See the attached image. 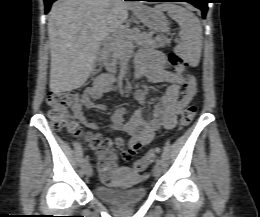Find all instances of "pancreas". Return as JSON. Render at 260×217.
Returning <instances> with one entry per match:
<instances>
[{
    "label": "pancreas",
    "mask_w": 260,
    "mask_h": 217,
    "mask_svg": "<svg viewBox=\"0 0 260 217\" xmlns=\"http://www.w3.org/2000/svg\"><path fill=\"white\" fill-rule=\"evenodd\" d=\"M133 43L146 47H163L169 40L159 35L154 38L152 32H140L138 29L122 26L105 42V59H112L111 63L105 62V65L113 66L116 61L124 60Z\"/></svg>",
    "instance_id": "1"
}]
</instances>
